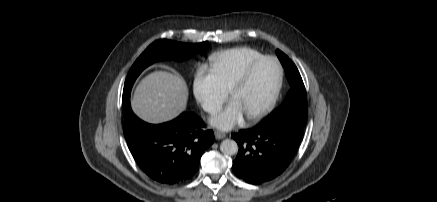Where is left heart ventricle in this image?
Returning <instances> with one entry per match:
<instances>
[{
    "instance_id": "b2bd125f",
    "label": "left heart ventricle",
    "mask_w": 437,
    "mask_h": 202,
    "mask_svg": "<svg viewBox=\"0 0 437 202\" xmlns=\"http://www.w3.org/2000/svg\"><path fill=\"white\" fill-rule=\"evenodd\" d=\"M278 77V67L274 61H264L254 70L245 86L231 97L239 103L245 117L259 111L269 100Z\"/></svg>"
}]
</instances>
